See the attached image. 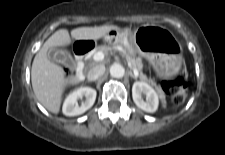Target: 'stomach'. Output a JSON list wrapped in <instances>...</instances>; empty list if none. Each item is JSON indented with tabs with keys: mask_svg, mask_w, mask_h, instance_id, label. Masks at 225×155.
I'll list each match as a JSON object with an SVG mask.
<instances>
[{
	"mask_svg": "<svg viewBox=\"0 0 225 155\" xmlns=\"http://www.w3.org/2000/svg\"><path fill=\"white\" fill-rule=\"evenodd\" d=\"M106 42H119L128 53H138L151 64L160 65L167 75L181 65V45L165 27L144 24L134 30H113L104 36Z\"/></svg>",
	"mask_w": 225,
	"mask_h": 155,
	"instance_id": "obj_1",
	"label": "stomach"
}]
</instances>
